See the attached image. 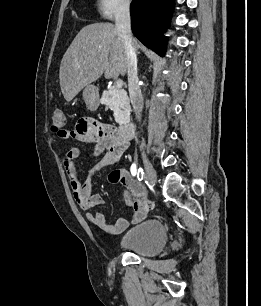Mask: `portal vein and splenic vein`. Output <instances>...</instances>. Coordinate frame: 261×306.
<instances>
[{
    "label": "portal vein and splenic vein",
    "mask_w": 261,
    "mask_h": 306,
    "mask_svg": "<svg viewBox=\"0 0 261 306\" xmlns=\"http://www.w3.org/2000/svg\"><path fill=\"white\" fill-rule=\"evenodd\" d=\"M115 86H116L117 88H122V86H123V81L120 80V79L116 80V81H115Z\"/></svg>",
    "instance_id": "1"
}]
</instances>
